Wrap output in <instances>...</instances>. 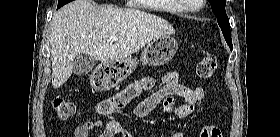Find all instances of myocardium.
I'll return each instance as SVG.
<instances>
[{
  "label": "myocardium",
  "instance_id": "myocardium-1",
  "mask_svg": "<svg viewBox=\"0 0 280 137\" xmlns=\"http://www.w3.org/2000/svg\"><path fill=\"white\" fill-rule=\"evenodd\" d=\"M199 2H200V4L198 5V7L201 6L204 1L199 0ZM182 7H184L185 9H188L190 11H193V12L198 10V7H193V6H190L188 4H184V5H182Z\"/></svg>",
  "mask_w": 280,
  "mask_h": 137
}]
</instances>
